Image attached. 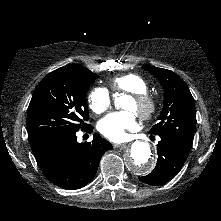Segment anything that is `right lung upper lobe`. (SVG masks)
Returning <instances> with one entry per match:
<instances>
[{"label": "right lung upper lobe", "mask_w": 221, "mask_h": 221, "mask_svg": "<svg viewBox=\"0 0 221 221\" xmlns=\"http://www.w3.org/2000/svg\"><path fill=\"white\" fill-rule=\"evenodd\" d=\"M65 67H73V68H80V67H83L81 65H77V64H71V65H67Z\"/></svg>", "instance_id": "obj_1"}]
</instances>
